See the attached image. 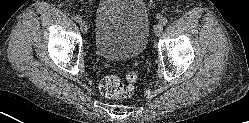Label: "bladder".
<instances>
[{
    "label": "bladder",
    "instance_id": "obj_1",
    "mask_svg": "<svg viewBox=\"0 0 249 123\" xmlns=\"http://www.w3.org/2000/svg\"><path fill=\"white\" fill-rule=\"evenodd\" d=\"M149 32L143 0H104L97 8L94 45L101 57L125 60L140 56Z\"/></svg>",
    "mask_w": 249,
    "mask_h": 123
}]
</instances>
